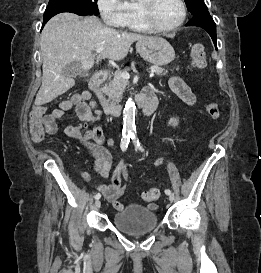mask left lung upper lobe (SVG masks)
<instances>
[{
    "instance_id": "1",
    "label": "left lung upper lobe",
    "mask_w": 261,
    "mask_h": 273,
    "mask_svg": "<svg viewBox=\"0 0 261 273\" xmlns=\"http://www.w3.org/2000/svg\"><path fill=\"white\" fill-rule=\"evenodd\" d=\"M188 11L194 16L198 13L207 11L204 0H185Z\"/></svg>"
}]
</instances>
